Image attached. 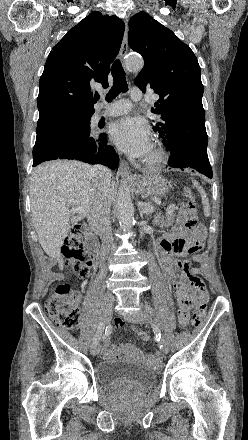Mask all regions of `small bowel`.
I'll list each match as a JSON object with an SVG mask.
<instances>
[{
	"mask_svg": "<svg viewBox=\"0 0 248 440\" xmlns=\"http://www.w3.org/2000/svg\"><path fill=\"white\" fill-rule=\"evenodd\" d=\"M206 236L205 228L190 222L186 207L183 208L178 223L159 240L161 266L170 285L174 288L179 308L176 315L179 317L178 325L184 328L190 322V308L194 305L196 297L191 293V278L199 274V268L191 267L187 258L193 254L192 260L201 262L202 255L197 252L202 248ZM124 326L123 321H117L115 328ZM136 331L135 326L132 327ZM104 359H114L122 356L140 360L152 366H158L159 361L152 356H145L132 345H112L109 339L104 341L102 348Z\"/></svg>",
	"mask_w": 248,
	"mask_h": 440,
	"instance_id": "c3829d8e",
	"label": "small bowel"
}]
</instances>
